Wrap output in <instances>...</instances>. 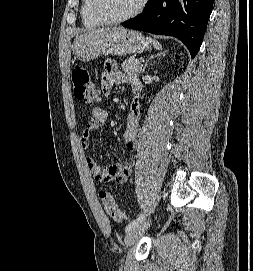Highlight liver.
<instances>
[{
	"label": "liver",
	"mask_w": 253,
	"mask_h": 271,
	"mask_svg": "<svg viewBox=\"0 0 253 271\" xmlns=\"http://www.w3.org/2000/svg\"><path fill=\"white\" fill-rule=\"evenodd\" d=\"M99 31H104V30H99ZM95 32H97V31H95ZM90 33H93V32H89V33H85V34H83V35H80L79 37L76 38V40H77V39H80V38H82V37H84L85 35L90 34Z\"/></svg>",
	"instance_id": "obj_1"
}]
</instances>
